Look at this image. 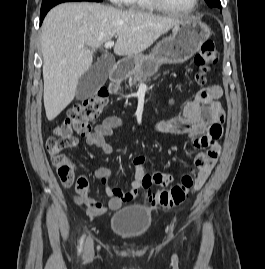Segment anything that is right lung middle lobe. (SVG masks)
<instances>
[{"label": "right lung middle lobe", "instance_id": "1", "mask_svg": "<svg viewBox=\"0 0 265 269\" xmlns=\"http://www.w3.org/2000/svg\"><path fill=\"white\" fill-rule=\"evenodd\" d=\"M94 1L101 2V1H103V0H94Z\"/></svg>", "mask_w": 265, "mask_h": 269}]
</instances>
